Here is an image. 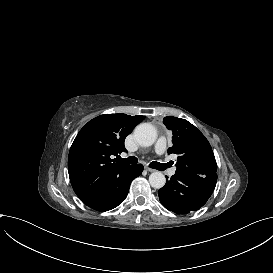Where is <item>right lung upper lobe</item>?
Listing matches in <instances>:
<instances>
[{
  "label": "right lung upper lobe",
  "mask_w": 273,
  "mask_h": 273,
  "mask_svg": "<svg viewBox=\"0 0 273 273\" xmlns=\"http://www.w3.org/2000/svg\"><path fill=\"white\" fill-rule=\"evenodd\" d=\"M144 118L104 114L89 121L77 134L68 156V171L72 187L83 203L100 197L111 177L132 166L112 158L126 151L125 137Z\"/></svg>",
  "instance_id": "1"
}]
</instances>
